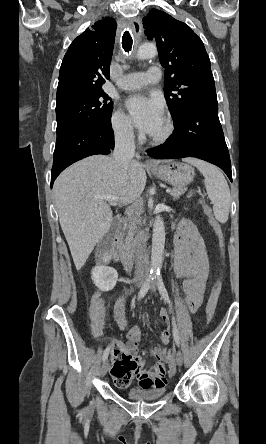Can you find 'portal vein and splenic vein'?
<instances>
[{"label": "portal vein and splenic vein", "instance_id": "1", "mask_svg": "<svg viewBox=\"0 0 266 444\" xmlns=\"http://www.w3.org/2000/svg\"><path fill=\"white\" fill-rule=\"evenodd\" d=\"M166 192L171 193V190L167 189ZM98 198L104 199V200L108 201L109 203H117L118 201H120L119 197L111 196V195L99 196Z\"/></svg>", "mask_w": 266, "mask_h": 444}]
</instances>
